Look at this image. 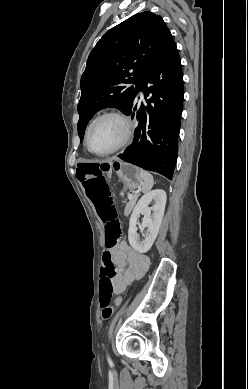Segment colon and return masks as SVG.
Returning <instances> with one entry per match:
<instances>
[{
    "label": "colon",
    "mask_w": 248,
    "mask_h": 389,
    "mask_svg": "<svg viewBox=\"0 0 248 389\" xmlns=\"http://www.w3.org/2000/svg\"><path fill=\"white\" fill-rule=\"evenodd\" d=\"M79 177L83 184L87 197L94 204L96 212L105 228V246L107 250L103 254V265L99 286V304L104 320H109L114 314V308H121L122 298L117 295L114 298V307L111 304L113 297V280L117 269L108 251L114 247L122 233L121 222L113 203L110 186L106 175L112 171L110 161H79Z\"/></svg>",
    "instance_id": "5ec220e1"
}]
</instances>
